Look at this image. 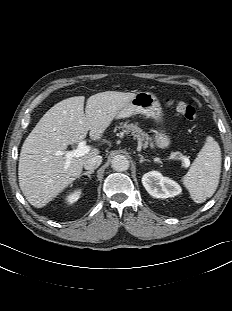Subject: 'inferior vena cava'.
Returning a JSON list of instances; mask_svg holds the SVG:
<instances>
[{
    "mask_svg": "<svg viewBox=\"0 0 232 311\" xmlns=\"http://www.w3.org/2000/svg\"><path fill=\"white\" fill-rule=\"evenodd\" d=\"M102 162V157L99 155H95L92 157H89L85 162H84V168L86 170H94L100 166Z\"/></svg>",
    "mask_w": 232,
    "mask_h": 311,
    "instance_id": "1",
    "label": "inferior vena cava"
}]
</instances>
